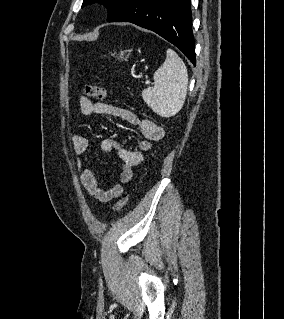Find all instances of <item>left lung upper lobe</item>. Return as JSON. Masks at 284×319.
I'll list each match as a JSON object with an SVG mask.
<instances>
[{
  "mask_svg": "<svg viewBox=\"0 0 284 319\" xmlns=\"http://www.w3.org/2000/svg\"><path fill=\"white\" fill-rule=\"evenodd\" d=\"M96 1L104 4L107 7L108 19H110L121 9L127 0H84L82 7L92 4Z\"/></svg>",
  "mask_w": 284,
  "mask_h": 319,
  "instance_id": "obj_1",
  "label": "left lung upper lobe"
}]
</instances>
